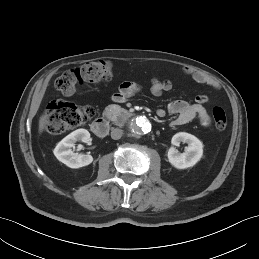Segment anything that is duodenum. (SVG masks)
<instances>
[{
	"instance_id": "obj_1",
	"label": "duodenum",
	"mask_w": 259,
	"mask_h": 259,
	"mask_svg": "<svg viewBox=\"0 0 259 259\" xmlns=\"http://www.w3.org/2000/svg\"><path fill=\"white\" fill-rule=\"evenodd\" d=\"M112 110L116 111L119 115L124 117L132 116V113L127 110H120L118 108H112ZM91 129L95 135L104 137L109 132V123L105 118H97L92 122Z\"/></svg>"
}]
</instances>
